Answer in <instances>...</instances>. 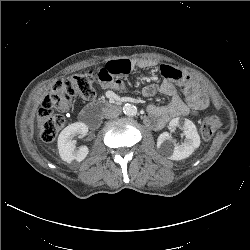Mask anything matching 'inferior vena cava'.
Listing matches in <instances>:
<instances>
[{
	"instance_id": "obj_1",
	"label": "inferior vena cava",
	"mask_w": 250,
	"mask_h": 250,
	"mask_svg": "<svg viewBox=\"0 0 250 250\" xmlns=\"http://www.w3.org/2000/svg\"><path fill=\"white\" fill-rule=\"evenodd\" d=\"M121 110L117 107L109 108L105 111L104 116L107 119L115 118L120 114Z\"/></svg>"
}]
</instances>
